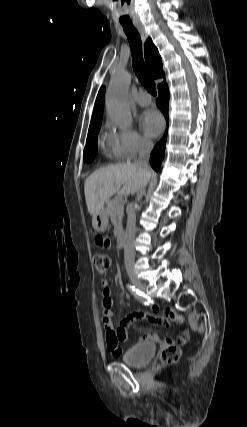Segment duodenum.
Here are the masks:
<instances>
[{"mask_svg": "<svg viewBox=\"0 0 247 427\" xmlns=\"http://www.w3.org/2000/svg\"><path fill=\"white\" fill-rule=\"evenodd\" d=\"M117 244L120 248H123L125 246V234L124 232H119L117 235Z\"/></svg>", "mask_w": 247, "mask_h": 427, "instance_id": "duodenum-1", "label": "duodenum"}]
</instances>
